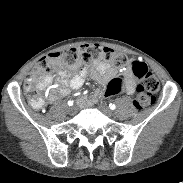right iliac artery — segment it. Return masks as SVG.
<instances>
[{
    "label": "right iliac artery",
    "instance_id": "82829eb1",
    "mask_svg": "<svg viewBox=\"0 0 183 183\" xmlns=\"http://www.w3.org/2000/svg\"><path fill=\"white\" fill-rule=\"evenodd\" d=\"M68 105H69V106H72V105H73V101H71V100L68 101Z\"/></svg>",
    "mask_w": 183,
    "mask_h": 183
}]
</instances>
